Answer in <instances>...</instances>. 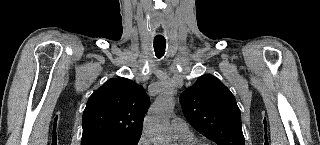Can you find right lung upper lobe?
Here are the masks:
<instances>
[{"mask_svg": "<svg viewBox=\"0 0 320 145\" xmlns=\"http://www.w3.org/2000/svg\"><path fill=\"white\" fill-rule=\"evenodd\" d=\"M149 103L136 82L123 77L109 79L87 102L82 140L100 135H141Z\"/></svg>", "mask_w": 320, "mask_h": 145, "instance_id": "obj_1", "label": "right lung upper lobe"}]
</instances>
